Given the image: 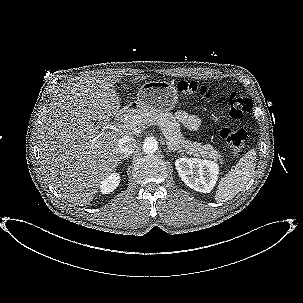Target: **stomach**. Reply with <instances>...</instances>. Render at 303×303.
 <instances>
[{
  "label": "stomach",
  "mask_w": 303,
  "mask_h": 303,
  "mask_svg": "<svg viewBox=\"0 0 303 303\" xmlns=\"http://www.w3.org/2000/svg\"><path fill=\"white\" fill-rule=\"evenodd\" d=\"M178 101L175 86L166 81L145 82L137 93L136 106L141 112H167Z\"/></svg>",
  "instance_id": "stomach-1"
}]
</instances>
